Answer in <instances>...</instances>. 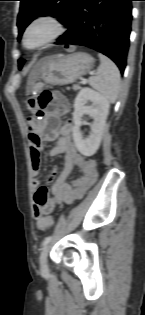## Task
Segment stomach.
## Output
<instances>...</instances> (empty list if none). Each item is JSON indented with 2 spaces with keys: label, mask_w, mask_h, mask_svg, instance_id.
I'll return each instance as SVG.
<instances>
[{
  "label": "stomach",
  "mask_w": 145,
  "mask_h": 315,
  "mask_svg": "<svg viewBox=\"0 0 145 315\" xmlns=\"http://www.w3.org/2000/svg\"><path fill=\"white\" fill-rule=\"evenodd\" d=\"M44 63L37 79L48 84L65 85L74 83L86 75L94 65V59L85 52H75L69 55H54L41 60ZM24 109H37V102L29 98L24 102Z\"/></svg>",
  "instance_id": "stomach-1"
}]
</instances>
